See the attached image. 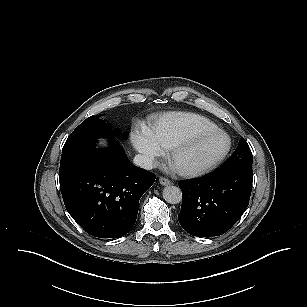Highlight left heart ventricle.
<instances>
[{"label":"left heart ventricle","mask_w":307,"mask_h":307,"mask_svg":"<svg viewBox=\"0 0 307 307\" xmlns=\"http://www.w3.org/2000/svg\"><path fill=\"white\" fill-rule=\"evenodd\" d=\"M225 145L226 140L222 136H214L199 142L181 154L173 161V165L176 167H184L206 162L219 154Z\"/></svg>","instance_id":"1"}]
</instances>
